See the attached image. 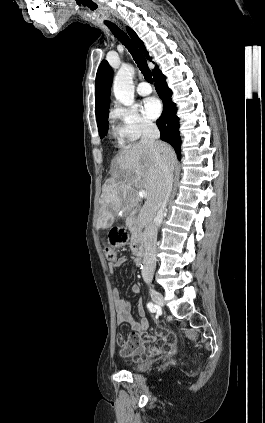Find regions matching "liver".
<instances>
[{"label":"liver","mask_w":265,"mask_h":423,"mask_svg":"<svg viewBox=\"0 0 265 423\" xmlns=\"http://www.w3.org/2000/svg\"><path fill=\"white\" fill-rule=\"evenodd\" d=\"M164 145L165 155L173 165L174 151L169 145ZM163 182L160 162L151 147L140 142L123 147L113 159L111 177L105 181L102 189L97 228L111 226L116 216L135 208L140 201V190L146 191L147 197L139 211L137 224L140 228L146 227L158 210Z\"/></svg>","instance_id":"6515ba94"}]
</instances>
